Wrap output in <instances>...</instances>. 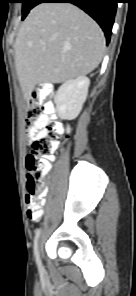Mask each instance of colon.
<instances>
[{
  "label": "colon",
  "mask_w": 136,
  "mask_h": 296,
  "mask_svg": "<svg viewBox=\"0 0 136 296\" xmlns=\"http://www.w3.org/2000/svg\"><path fill=\"white\" fill-rule=\"evenodd\" d=\"M52 112L51 103L40 104L31 101L26 108L25 129L31 132L37 123ZM45 133L41 136L29 135L31 151L26 156L27 189L25 205L30 219H39L41 202L45 195V179L50 168L49 156L56 150L59 138L67 133L64 125L48 120L43 123Z\"/></svg>",
  "instance_id": "colon-1"
}]
</instances>
